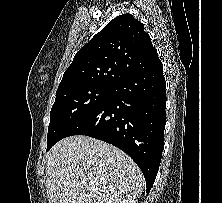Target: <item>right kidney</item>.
<instances>
[{"label": "right kidney", "mask_w": 222, "mask_h": 203, "mask_svg": "<svg viewBox=\"0 0 222 203\" xmlns=\"http://www.w3.org/2000/svg\"><path fill=\"white\" fill-rule=\"evenodd\" d=\"M126 203H136L135 200H130V201H127Z\"/></svg>", "instance_id": "obj_1"}]
</instances>
